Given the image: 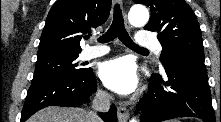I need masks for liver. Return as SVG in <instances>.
Instances as JSON below:
<instances>
[{"label": "liver", "instance_id": "liver-1", "mask_svg": "<svg viewBox=\"0 0 221 122\" xmlns=\"http://www.w3.org/2000/svg\"><path fill=\"white\" fill-rule=\"evenodd\" d=\"M28 122H98L92 112L82 108L46 107L28 119Z\"/></svg>", "mask_w": 221, "mask_h": 122}]
</instances>
